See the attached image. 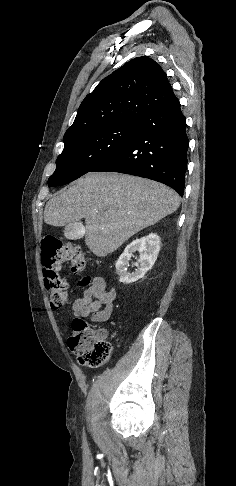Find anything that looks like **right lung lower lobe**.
<instances>
[{
  "label": "right lung lower lobe",
  "mask_w": 236,
  "mask_h": 486,
  "mask_svg": "<svg viewBox=\"0 0 236 486\" xmlns=\"http://www.w3.org/2000/svg\"><path fill=\"white\" fill-rule=\"evenodd\" d=\"M189 140L179 101L137 121L131 141L91 172H120L152 179L183 196Z\"/></svg>",
  "instance_id": "1"
}]
</instances>
